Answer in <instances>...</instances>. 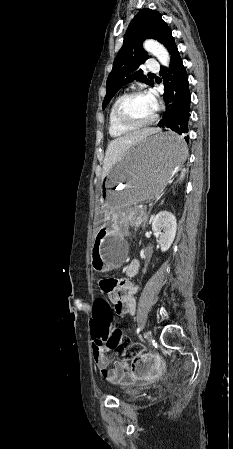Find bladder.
I'll return each instance as SVG.
<instances>
[{"instance_id":"obj_1","label":"bladder","mask_w":233,"mask_h":449,"mask_svg":"<svg viewBox=\"0 0 233 449\" xmlns=\"http://www.w3.org/2000/svg\"><path fill=\"white\" fill-rule=\"evenodd\" d=\"M123 396L124 400L130 401L136 399L138 397V393L132 390L131 388H124Z\"/></svg>"}]
</instances>
